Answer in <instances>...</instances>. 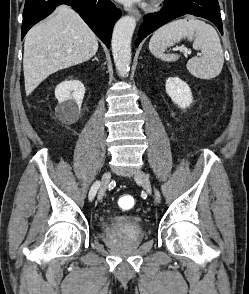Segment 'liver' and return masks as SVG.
Returning <instances> with one entry per match:
<instances>
[{"label": "liver", "mask_w": 249, "mask_h": 294, "mask_svg": "<svg viewBox=\"0 0 249 294\" xmlns=\"http://www.w3.org/2000/svg\"><path fill=\"white\" fill-rule=\"evenodd\" d=\"M97 50V37L88 25L71 7L59 6L25 37L26 94H31L51 74L88 61Z\"/></svg>", "instance_id": "1"}]
</instances>
